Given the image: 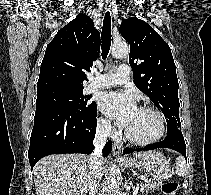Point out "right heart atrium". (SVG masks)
Returning <instances> with one entry per match:
<instances>
[{
    "label": "right heart atrium",
    "instance_id": "1",
    "mask_svg": "<svg viewBox=\"0 0 211 195\" xmlns=\"http://www.w3.org/2000/svg\"><path fill=\"white\" fill-rule=\"evenodd\" d=\"M98 127H99L100 131L103 132L104 134L110 135V134L113 133V125H112V122L107 117H101L98 120Z\"/></svg>",
    "mask_w": 211,
    "mask_h": 195
}]
</instances>
